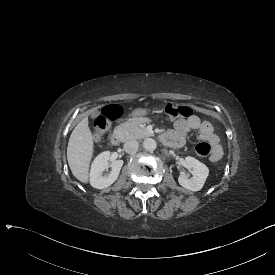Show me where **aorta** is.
I'll use <instances>...</instances> for the list:
<instances>
[{
  "label": "aorta",
  "instance_id": "1",
  "mask_svg": "<svg viewBox=\"0 0 275 275\" xmlns=\"http://www.w3.org/2000/svg\"><path fill=\"white\" fill-rule=\"evenodd\" d=\"M143 146L148 151H154L157 148V142L152 138H148L144 140Z\"/></svg>",
  "mask_w": 275,
  "mask_h": 275
}]
</instances>
